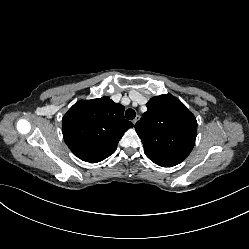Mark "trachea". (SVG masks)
I'll list each match as a JSON object with an SVG mask.
<instances>
[{
  "mask_svg": "<svg viewBox=\"0 0 249 249\" xmlns=\"http://www.w3.org/2000/svg\"><path fill=\"white\" fill-rule=\"evenodd\" d=\"M136 116V112L133 109H127L125 112V117L128 120H133Z\"/></svg>",
  "mask_w": 249,
  "mask_h": 249,
  "instance_id": "1",
  "label": "trachea"
}]
</instances>
